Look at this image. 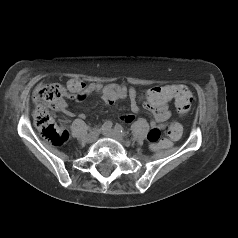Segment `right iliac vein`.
Wrapping results in <instances>:
<instances>
[{
    "label": "right iliac vein",
    "instance_id": "63e3f726",
    "mask_svg": "<svg viewBox=\"0 0 238 238\" xmlns=\"http://www.w3.org/2000/svg\"><path fill=\"white\" fill-rule=\"evenodd\" d=\"M100 134V129L99 128H94L87 136V141L88 142H94L98 138Z\"/></svg>",
    "mask_w": 238,
    "mask_h": 238
}]
</instances>
